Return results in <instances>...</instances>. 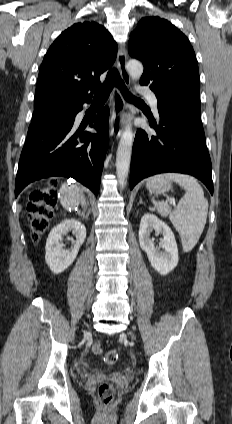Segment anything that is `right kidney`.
I'll list each match as a JSON object with an SVG mask.
<instances>
[{"label": "right kidney", "mask_w": 232, "mask_h": 424, "mask_svg": "<svg viewBox=\"0 0 232 424\" xmlns=\"http://www.w3.org/2000/svg\"><path fill=\"white\" fill-rule=\"evenodd\" d=\"M69 231H72L75 235L76 241H74V246L70 250H65L61 238L62 235H66ZM85 238V226L75 219L64 220L54 227L48 236L45 247V261L50 270L55 274H59L67 269L75 260Z\"/></svg>", "instance_id": "obj_1"}]
</instances>
